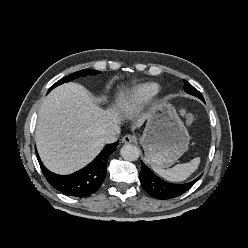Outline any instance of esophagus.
<instances>
[{
    "label": "esophagus",
    "instance_id": "34e87169",
    "mask_svg": "<svg viewBox=\"0 0 248 248\" xmlns=\"http://www.w3.org/2000/svg\"><path fill=\"white\" fill-rule=\"evenodd\" d=\"M136 138L135 136L131 135V134H127L122 138V143L124 144H130L135 142Z\"/></svg>",
    "mask_w": 248,
    "mask_h": 248
}]
</instances>
